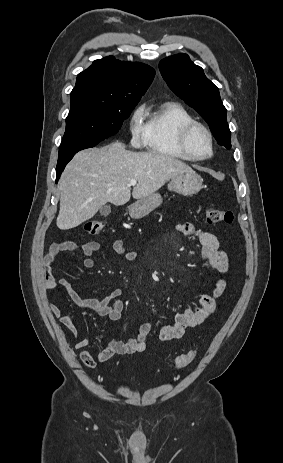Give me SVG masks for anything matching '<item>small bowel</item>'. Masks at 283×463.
<instances>
[{"label":"small bowel","instance_id":"1","mask_svg":"<svg viewBox=\"0 0 283 463\" xmlns=\"http://www.w3.org/2000/svg\"><path fill=\"white\" fill-rule=\"evenodd\" d=\"M178 230L187 236L196 238L199 242L201 256L207 260L210 267L216 272L218 278L211 292H204L199 299V303L194 308L185 309L178 313L175 321L170 325H163L158 330V339L161 341H171L181 338L186 328L196 327L208 318L215 310L216 300L226 289V274L229 269L227 254L221 250L217 237L205 230L196 228L192 223L186 222L178 225ZM113 250L123 255L128 261L137 260V254L126 249L122 239H116L112 244ZM100 249V244L95 241H88L78 244L71 240L55 241L50 245L49 251L44 258L42 274L44 278V288L47 291H57L64 289L68 296L78 306L92 310L100 316L108 317L117 326L120 324L124 304L118 300L122 294L120 288L115 289L109 296L102 299L82 298L72 287L66 278L55 279L52 273V264L55 263L62 253L80 251L84 256L83 266L92 269L95 261L91 255ZM48 308L59 322L76 334L73 318L69 314H62L61 310L54 304L49 303ZM152 323H144L139 329V333L134 338L121 340L117 337L111 338L106 345L96 351L89 349V340L81 339L76 342V349L80 350V359L88 368H94L97 362H105L115 354H134L143 352L147 348L146 339L152 331Z\"/></svg>","mask_w":283,"mask_h":463}]
</instances>
